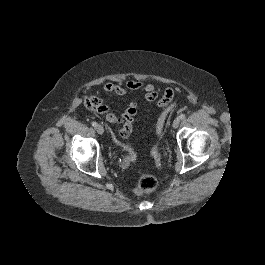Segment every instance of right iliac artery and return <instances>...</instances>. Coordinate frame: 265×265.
<instances>
[{
	"mask_svg": "<svg viewBox=\"0 0 265 265\" xmlns=\"http://www.w3.org/2000/svg\"><path fill=\"white\" fill-rule=\"evenodd\" d=\"M91 125H92L93 127H96V126H97V123L93 121V122L91 123Z\"/></svg>",
	"mask_w": 265,
	"mask_h": 265,
	"instance_id": "obj_1",
	"label": "right iliac artery"
}]
</instances>
